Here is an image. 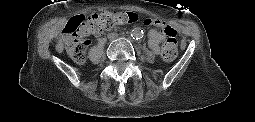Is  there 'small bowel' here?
Listing matches in <instances>:
<instances>
[{
    "instance_id": "1",
    "label": "small bowel",
    "mask_w": 255,
    "mask_h": 122,
    "mask_svg": "<svg viewBox=\"0 0 255 122\" xmlns=\"http://www.w3.org/2000/svg\"><path fill=\"white\" fill-rule=\"evenodd\" d=\"M155 26L162 24L158 19H152ZM164 39V35L157 29H152L148 34L147 44L156 54L160 53V43Z\"/></svg>"
}]
</instances>
